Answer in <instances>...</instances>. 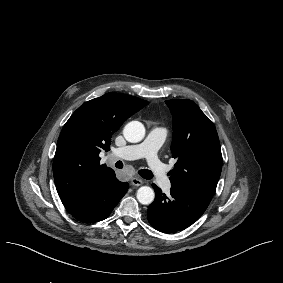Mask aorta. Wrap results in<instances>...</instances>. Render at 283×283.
<instances>
[{
	"label": "aorta",
	"instance_id": "1",
	"mask_svg": "<svg viewBox=\"0 0 283 283\" xmlns=\"http://www.w3.org/2000/svg\"><path fill=\"white\" fill-rule=\"evenodd\" d=\"M124 138L131 143L140 142L145 136V127L139 121L129 122L123 130ZM137 200L143 205H149L154 201V190L149 186H142L137 190Z\"/></svg>",
	"mask_w": 283,
	"mask_h": 283
}]
</instances>
